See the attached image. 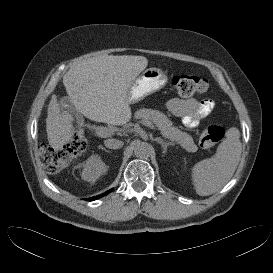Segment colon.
<instances>
[{"label": "colon", "instance_id": "5ec220e1", "mask_svg": "<svg viewBox=\"0 0 273 273\" xmlns=\"http://www.w3.org/2000/svg\"><path fill=\"white\" fill-rule=\"evenodd\" d=\"M172 86L176 93L182 97H194L203 95L208 89V82L201 77L178 74L172 78ZM225 131L219 125H209L201 133L200 145L209 149L219 143L224 137ZM86 149V138L82 131H76L68 143L60 150H54L49 146H42L41 156L47 171L58 173L68 163Z\"/></svg>", "mask_w": 273, "mask_h": 273}]
</instances>
